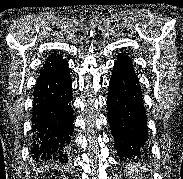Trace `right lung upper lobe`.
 Listing matches in <instances>:
<instances>
[{"label":"right lung upper lobe","instance_id":"cb5924a9","mask_svg":"<svg viewBox=\"0 0 183 179\" xmlns=\"http://www.w3.org/2000/svg\"><path fill=\"white\" fill-rule=\"evenodd\" d=\"M66 63H67L66 60L63 59L60 55H58V54H51L46 59L44 66L64 65Z\"/></svg>","mask_w":183,"mask_h":179}]
</instances>
